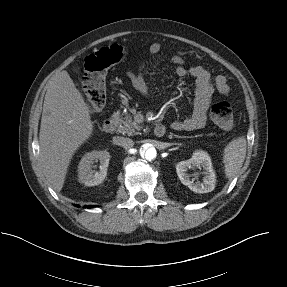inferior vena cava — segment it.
<instances>
[{
  "instance_id": "obj_1",
  "label": "inferior vena cava",
  "mask_w": 287,
  "mask_h": 287,
  "mask_svg": "<svg viewBox=\"0 0 287 287\" xmlns=\"http://www.w3.org/2000/svg\"><path fill=\"white\" fill-rule=\"evenodd\" d=\"M114 143L116 145L123 147L124 149H130L134 145V142L132 139L125 138V137H119V136L114 138Z\"/></svg>"
}]
</instances>
